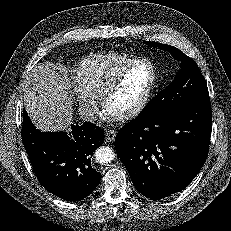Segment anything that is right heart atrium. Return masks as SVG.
Listing matches in <instances>:
<instances>
[{
  "label": "right heart atrium",
  "mask_w": 231,
  "mask_h": 231,
  "mask_svg": "<svg viewBox=\"0 0 231 231\" xmlns=\"http://www.w3.org/2000/svg\"><path fill=\"white\" fill-rule=\"evenodd\" d=\"M70 91L78 102L81 114L85 118H91L96 111V98L89 95L75 81L70 83Z\"/></svg>",
  "instance_id": "obj_1"
}]
</instances>
